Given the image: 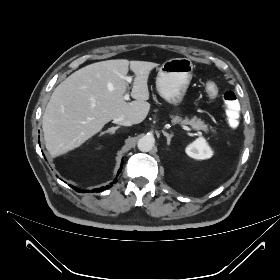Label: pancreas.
I'll return each mask as SVG.
<instances>
[{"instance_id": "pancreas-1", "label": "pancreas", "mask_w": 280, "mask_h": 280, "mask_svg": "<svg viewBox=\"0 0 280 280\" xmlns=\"http://www.w3.org/2000/svg\"><path fill=\"white\" fill-rule=\"evenodd\" d=\"M171 118H172V122L173 123L188 124L193 129H195V130H202L205 133H208V132H212L214 134L216 133V130L212 126H209L208 124H205L204 121H202L201 119L197 118L196 116H194L190 120L188 118L182 119V117H180L178 115H176V116L172 115Z\"/></svg>"}]
</instances>
